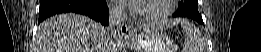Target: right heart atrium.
Here are the masks:
<instances>
[{
	"instance_id": "d8ad5b80",
	"label": "right heart atrium",
	"mask_w": 261,
	"mask_h": 52,
	"mask_svg": "<svg viewBox=\"0 0 261 52\" xmlns=\"http://www.w3.org/2000/svg\"><path fill=\"white\" fill-rule=\"evenodd\" d=\"M114 14L116 15V16H122L123 15V13H124V10H123V8L121 7V6H116L115 8H114Z\"/></svg>"
}]
</instances>
